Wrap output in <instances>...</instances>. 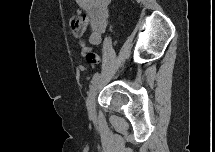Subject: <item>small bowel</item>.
I'll use <instances>...</instances> for the list:
<instances>
[{"label":"small bowel","mask_w":215,"mask_h":152,"mask_svg":"<svg viewBox=\"0 0 215 152\" xmlns=\"http://www.w3.org/2000/svg\"><path fill=\"white\" fill-rule=\"evenodd\" d=\"M77 4L88 14L90 19L89 43L91 45L100 44L108 23L110 0H77ZM80 69L84 70V67L80 66Z\"/></svg>","instance_id":"obj_1"}]
</instances>
